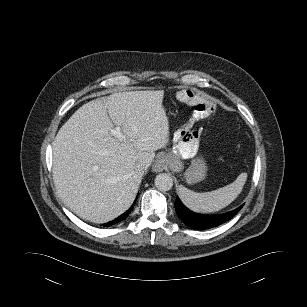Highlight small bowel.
<instances>
[{
    "mask_svg": "<svg viewBox=\"0 0 307 307\" xmlns=\"http://www.w3.org/2000/svg\"><path fill=\"white\" fill-rule=\"evenodd\" d=\"M186 100L189 102L194 101V95L193 94H187L185 96ZM214 104L211 101L207 100H200L197 101L194 104L192 114L190 117L189 121H186L183 123V125H178L174 129V134L178 138H183L186 136V134H191L195 130V125L194 123L197 122L198 120H201L205 117L210 116L214 112Z\"/></svg>",
    "mask_w": 307,
    "mask_h": 307,
    "instance_id": "c3829d8e",
    "label": "small bowel"
}]
</instances>
